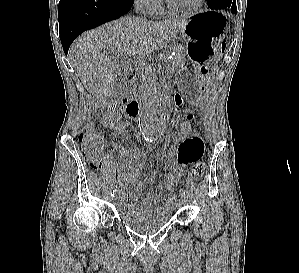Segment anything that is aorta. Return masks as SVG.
I'll return each mask as SVG.
<instances>
[{
    "label": "aorta",
    "mask_w": 299,
    "mask_h": 273,
    "mask_svg": "<svg viewBox=\"0 0 299 273\" xmlns=\"http://www.w3.org/2000/svg\"><path fill=\"white\" fill-rule=\"evenodd\" d=\"M143 108L139 118V127L147 141L159 137L165 129V115L157 85V75L150 70L143 78Z\"/></svg>",
    "instance_id": "obj_1"
}]
</instances>
